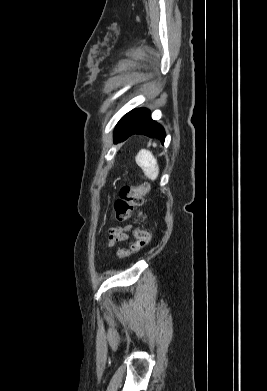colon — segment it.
<instances>
[{"label": "colon", "mask_w": 267, "mask_h": 391, "mask_svg": "<svg viewBox=\"0 0 267 391\" xmlns=\"http://www.w3.org/2000/svg\"><path fill=\"white\" fill-rule=\"evenodd\" d=\"M150 186L143 183L138 186H124L121 188L119 197L115 201V217L118 221H126L136 208L140 207L145 196L149 193ZM134 241L127 247L119 251L120 257H128L146 247L150 242V234L142 229L136 228L133 231Z\"/></svg>", "instance_id": "obj_1"}]
</instances>
